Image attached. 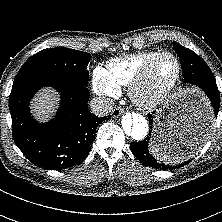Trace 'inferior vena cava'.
I'll list each match as a JSON object with an SVG mask.
<instances>
[{
  "mask_svg": "<svg viewBox=\"0 0 222 222\" xmlns=\"http://www.w3.org/2000/svg\"><path fill=\"white\" fill-rule=\"evenodd\" d=\"M92 113L97 116H105L113 111V100L109 98H93L90 102Z\"/></svg>",
  "mask_w": 222,
  "mask_h": 222,
  "instance_id": "obj_1",
  "label": "inferior vena cava"
}]
</instances>
